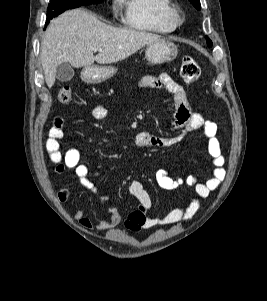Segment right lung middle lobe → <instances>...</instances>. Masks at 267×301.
<instances>
[{"instance_id": "dd1d6c3e", "label": "right lung middle lobe", "mask_w": 267, "mask_h": 301, "mask_svg": "<svg viewBox=\"0 0 267 301\" xmlns=\"http://www.w3.org/2000/svg\"><path fill=\"white\" fill-rule=\"evenodd\" d=\"M100 1L101 0H50L45 24L47 25L53 18L66 10L77 8L81 5L99 3Z\"/></svg>"}]
</instances>
